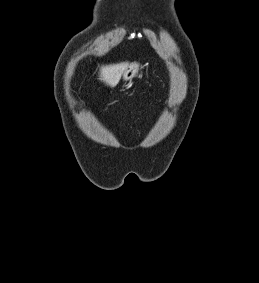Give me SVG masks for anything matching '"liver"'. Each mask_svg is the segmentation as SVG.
<instances>
[{"instance_id": "liver-1", "label": "liver", "mask_w": 259, "mask_h": 283, "mask_svg": "<svg viewBox=\"0 0 259 283\" xmlns=\"http://www.w3.org/2000/svg\"><path fill=\"white\" fill-rule=\"evenodd\" d=\"M129 64L127 62L102 66L100 69V80L110 87H115L121 79L125 69Z\"/></svg>"}]
</instances>
